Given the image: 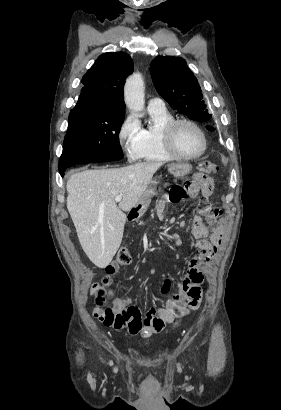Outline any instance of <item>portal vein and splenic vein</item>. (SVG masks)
Here are the masks:
<instances>
[{
  "label": "portal vein and splenic vein",
  "mask_w": 281,
  "mask_h": 410,
  "mask_svg": "<svg viewBox=\"0 0 281 410\" xmlns=\"http://www.w3.org/2000/svg\"><path fill=\"white\" fill-rule=\"evenodd\" d=\"M122 200V196H117L116 198H115V201L116 202H120Z\"/></svg>",
  "instance_id": "1"
}]
</instances>
